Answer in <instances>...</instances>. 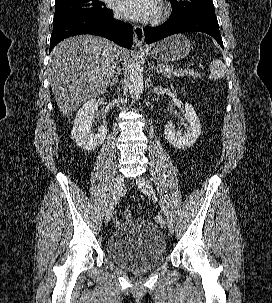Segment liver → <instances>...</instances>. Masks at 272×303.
Listing matches in <instances>:
<instances>
[{
  "instance_id": "liver-1",
  "label": "liver",
  "mask_w": 272,
  "mask_h": 303,
  "mask_svg": "<svg viewBox=\"0 0 272 303\" xmlns=\"http://www.w3.org/2000/svg\"><path fill=\"white\" fill-rule=\"evenodd\" d=\"M125 51L111 41L79 35L61 41L49 56L52 92L63 115L106 91Z\"/></svg>"
}]
</instances>
